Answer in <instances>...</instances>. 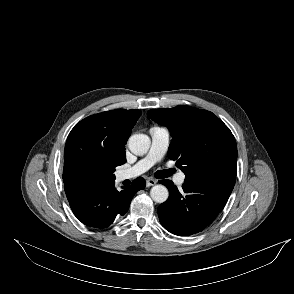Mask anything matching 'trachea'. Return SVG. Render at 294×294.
<instances>
[{"mask_svg": "<svg viewBox=\"0 0 294 294\" xmlns=\"http://www.w3.org/2000/svg\"><path fill=\"white\" fill-rule=\"evenodd\" d=\"M173 172L171 170H161V171H158L156 173V176L158 178H167L169 177Z\"/></svg>", "mask_w": 294, "mask_h": 294, "instance_id": "obj_1", "label": "trachea"}]
</instances>
